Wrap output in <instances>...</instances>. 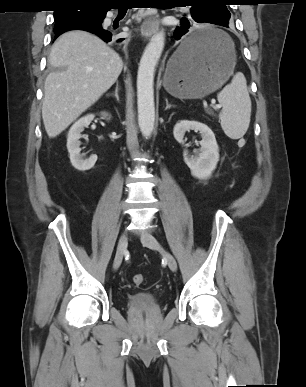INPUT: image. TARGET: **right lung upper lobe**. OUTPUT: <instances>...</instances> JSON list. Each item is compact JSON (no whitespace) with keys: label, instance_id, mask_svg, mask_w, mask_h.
<instances>
[{"label":"right lung upper lobe","instance_id":"1","mask_svg":"<svg viewBox=\"0 0 306 387\" xmlns=\"http://www.w3.org/2000/svg\"><path fill=\"white\" fill-rule=\"evenodd\" d=\"M60 1V8H68L71 5L80 4L86 7H98L104 10H109V6H111L115 0H58ZM59 8V9H60ZM75 25L69 26L73 27ZM67 29V28H66ZM65 30V29H64Z\"/></svg>","mask_w":306,"mask_h":387}]
</instances>
